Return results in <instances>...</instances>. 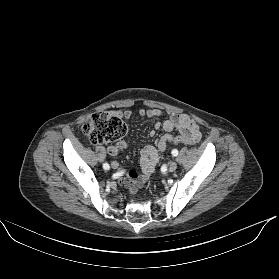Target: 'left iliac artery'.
<instances>
[{"mask_svg": "<svg viewBox=\"0 0 279 279\" xmlns=\"http://www.w3.org/2000/svg\"><path fill=\"white\" fill-rule=\"evenodd\" d=\"M171 153H172L173 156H177L178 155V150L177 149H173Z\"/></svg>", "mask_w": 279, "mask_h": 279, "instance_id": "left-iliac-artery-1", "label": "left iliac artery"}]
</instances>
